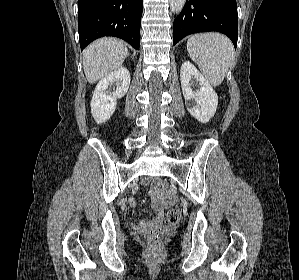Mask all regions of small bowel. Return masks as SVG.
<instances>
[{"label": "small bowel", "instance_id": "1", "mask_svg": "<svg viewBox=\"0 0 299 280\" xmlns=\"http://www.w3.org/2000/svg\"><path fill=\"white\" fill-rule=\"evenodd\" d=\"M162 180L157 178L153 181L152 186L149 191V195L152 199L153 205L157 210H160L163 204V197H162V188H161ZM130 204L132 206L135 205L133 200H130Z\"/></svg>", "mask_w": 299, "mask_h": 280}]
</instances>
